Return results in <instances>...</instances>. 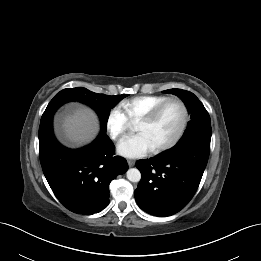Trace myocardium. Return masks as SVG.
<instances>
[{
    "mask_svg": "<svg viewBox=\"0 0 261 261\" xmlns=\"http://www.w3.org/2000/svg\"><path fill=\"white\" fill-rule=\"evenodd\" d=\"M171 104H175L181 109L182 120H181L180 127H179L178 131L176 132V134L169 141H167L166 143H164L160 146L152 148L151 151L153 153H160L165 150H168V149L172 148L173 146H175L180 141V139L183 137V135L185 134V132L187 130L189 120H190V114H189L188 107L179 98H176V97L168 98L167 100H165L164 102H162L161 104H159L158 106L153 108L150 112H148L146 115H144L141 119H139L137 121V124H151V123L155 122L157 120V118L161 115V113L165 110V108Z\"/></svg>",
    "mask_w": 261,
    "mask_h": 261,
    "instance_id": "obj_1",
    "label": "myocardium"
}]
</instances>
